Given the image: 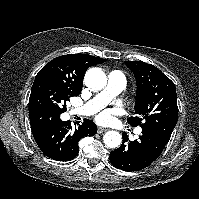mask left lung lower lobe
I'll return each mask as SVG.
<instances>
[{"mask_svg":"<svg viewBox=\"0 0 199 199\" xmlns=\"http://www.w3.org/2000/svg\"><path fill=\"white\" fill-rule=\"evenodd\" d=\"M123 143L110 153L111 163L124 171H138L148 167L163 151L169 140L160 135L142 131L138 140L128 141V135L122 134Z\"/></svg>","mask_w":199,"mask_h":199,"instance_id":"left-lung-lower-lobe-1","label":"left lung lower lobe"}]
</instances>
